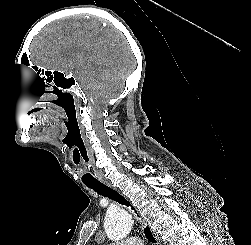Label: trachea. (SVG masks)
Instances as JSON below:
<instances>
[{
    "label": "trachea",
    "instance_id": "obj_1",
    "mask_svg": "<svg viewBox=\"0 0 251 245\" xmlns=\"http://www.w3.org/2000/svg\"><path fill=\"white\" fill-rule=\"evenodd\" d=\"M85 185L88 188L93 189L95 192H97L98 194H100L104 197H107L111 200H114V201L118 202L119 204L130 206V203L123 196H121L117 191H115L114 189L110 188L109 186L103 184L100 181L92 182V183H85ZM132 210H135V209L132 207ZM135 213L137 214L136 211H135ZM144 234L150 242H152V243L156 242V240H155L154 236L152 235V232L148 226H146L144 228Z\"/></svg>",
    "mask_w": 251,
    "mask_h": 245
}]
</instances>
